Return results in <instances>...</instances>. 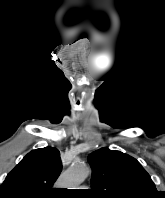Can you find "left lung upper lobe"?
<instances>
[{
    "label": "left lung upper lobe",
    "instance_id": "5c2ea615",
    "mask_svg": "<svg viewBox=\"0 0 165 198\" xmlns=\"http://www.w3.org/2000/svg\"><path fill=\"white\" fill-rule=\"evenodd\" d=\"M92 167V193L97 198H157L149 174L133 157L101 148L88 157Z\"/></svg>",
    "mask_w": 165,
    "mask_h": 198
}]
</instances>
